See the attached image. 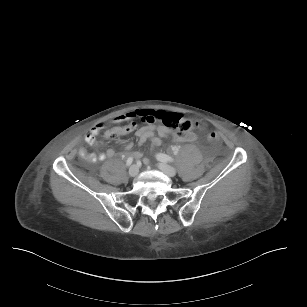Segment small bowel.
<instances>
[{
	"mask_svg": "<svg viewBox=\"0 0 307 307\" xmlns=\"http://www.w3.org/2000/svg\"><path fill=\"white\" fill-rule=\"evenodd\" d=\"M154 114L155 112L150 109H137V110L128 112L124 115L117 117L114 120V122L116 124H122V123L129 122L137 118H141L146 123V125L136 130V136L138 137L139 145H142L146 143L147 141H149L152 144V147L156 148L161 145L162 143L161 138H171L175 141L185 142V143H191V142L196 141L197 136L193 132H190L185 136H179L176 133L169 131L163 126L156 125L154 123L155 122ZM130 124H134V123H130ZM100 130H101L100 125H95L92 128H90L85 135V142L89 145H96L98 143L97 135L99 134ZM132 147H133L132 142H126L124 144V150L126 152L130 151ZM79 153L82 157H84L89 162H96L97 160L102 161V160H105L106 158H111L115 155L114 149H111V148L99 154L87 153L84 148H81ZM134 156L135 158H140L142 154L138 152V153H135ZM145 163H148V160H145Z\"/></svg>",
	"mask_w": 307,
	"mask_h": 307,
	"instance_id": "1",
	"label": "small bowel"
}]
</instances>
